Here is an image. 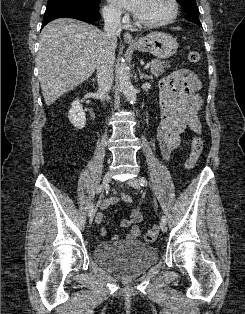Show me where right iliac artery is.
<instances>
[{
  "label": "right iliac artery",
  "instance_id": "obj_1",
  "mask_svg": "<svg viewBox=\"0 0 245 314\" xmlns=\"http://www.w3.org/2000/svg\"><path fill=\"white\" fill-rule=\"evenodd\" d=\"M101 191H102V185H100V186L98 187L97 193H100ZM97 206H98V205H97ZM93 210L96 211V208H95L94 204H92V205L90 206V208H89V213H90L91 211H93Z\"/></svg>",
  "mask_w": 245,
  "mask_h": 314
}]
</instances>
